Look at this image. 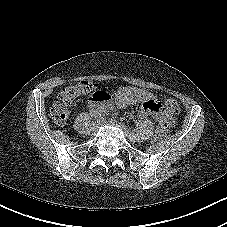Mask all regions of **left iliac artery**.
Here are the masks:
<instances>
[{
    "mask_svg": "<svg viewBox=\"0 0 227 227\" xmlns=\"http://www.w3.org/2000/svg\"><path fill=\"white\" fill-rule=\"evenodd\" d=\"M133 137H135L137 140H140L141 139V136L138 134V132H133Z\"/></svg>",
    "mask_w": 227,
    "mask_h": 227,
    "instance_id": "left-iliac-artery-1",
    "label": "left iliac artery"
}]
</instances>
